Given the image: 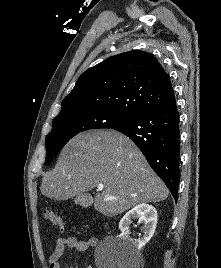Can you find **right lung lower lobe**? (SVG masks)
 Listing matches in <instances>:
<instances>
[{"mask_svg": "<svg viewBox=\"0 0 221 268\" xmlns=\"http://www.w3.org/2000/svg\"><path fill=\"white\" fill-rule=\"evenodd\" d=\"M112 129L129 137L139 147L176 201L180 181V130L176 102L147 111Z\"/></svg>", "mask_w": 221, "mask_h": 268, "instance_id": "right-lung-lower-lobe-1", "label": "right lung lower lobe"}]
</instances>
